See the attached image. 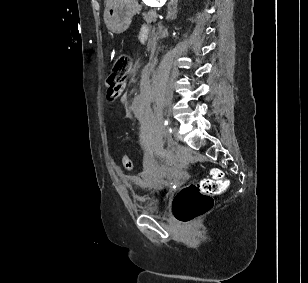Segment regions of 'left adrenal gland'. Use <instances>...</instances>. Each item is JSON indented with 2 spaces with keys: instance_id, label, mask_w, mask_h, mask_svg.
<instances>
[{
  "instance_id": "obj_1",
  "label": "left adrenal gland",
  "mask_w": 308,
  "mask_h": 283,
  "mask_svg": "<svg viewBox=\"0 0 308 283\" xmlns=\"http://www.w3.org/2000/svg\"><path fill=\"white\" fill-rule=\"evenodd\" d=\"M177 3H178V0H170L168 4L167 19L169 20L176 19Z\"/></svg>"
}]
</instances>
